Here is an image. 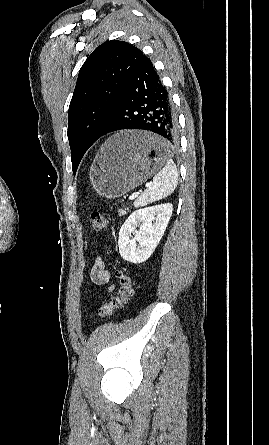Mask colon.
<instances>
[{"mask_svg":"<svg viewBox=\"0 0 269 445\" xmlns=\"http://www.w3.org/2000/svg\"><path fill=\"white\" fill-rule=\"evenodd\" d=\"M91 228L94 231H102L108 225V219L99 212H93L90 216ZM116 276L120 281V288L117 294L108 302L102 304L97 311L96 317L106 318L114 310L120 309L133 295L134 279L123 270H116Z\"/></svg>","mask_w":269,"mask_h":445,"instance_id":"5ec220e1","label":"colon"}]
</instances>
